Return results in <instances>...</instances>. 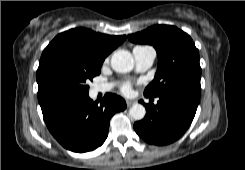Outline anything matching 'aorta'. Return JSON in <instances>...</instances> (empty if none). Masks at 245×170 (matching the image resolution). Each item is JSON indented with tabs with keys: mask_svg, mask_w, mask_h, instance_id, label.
<instances>
[{
	"mask_svg": "<svg viewBox=\"0 0 245 170\" xmlns=\"http://www.w3.org/2000/svg\"><path fill=\"white\" fill-rule=\"evenodd\" d=\"M111 67L119 73L130 72L134 67L132 54L127 50H117L111 57ZM145 107L139 103L133 104L129 110V115L134 120H142L145 117Z\"/></svg>",
	"mask_w": 245,
	"mask_h": 170,
	"instance_id": "762f6f07",
	"label": "aorta"
}]
</instances>
